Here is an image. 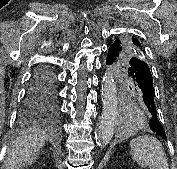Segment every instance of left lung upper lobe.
<instances>
[{
    "mask_svg": "<svg viewBox=\"0 0 177 169\" xmlns=\"http://www.w3.org/2000/svg\"><path fill=\"white\" fill-rule=\"evenodd\" d=\"M114 42H118L122 46V51L117 61L118 63L125 62L130 57H138L145 62L147 61L145 48L137 37L127 36L124 39L117 38Z\"/></svg>",
    "mask_w": 177,
    "mask_h": 169,
    "instance_id": "1",
    "label": "left lung upper lobe"
}]
</instances>
